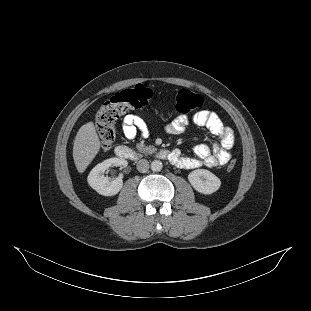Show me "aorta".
I'll return each instance as SVG.
<instances>
[{"label": "aorta", "mask_w": 311, "mask_h": 311, "mask_svg": "<svg viewBox=\"0 0 311 311\" xmlns=\"http://www.w3.org/2000/svg\"><path fill=\"white\" fill-rule=\"evenodd\" d=\"M163 168V164L160 160H154L151 162V170L154 172H159Z\"/></svg>", "instance_id": "1"}]
</instances>
